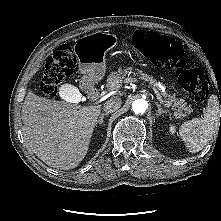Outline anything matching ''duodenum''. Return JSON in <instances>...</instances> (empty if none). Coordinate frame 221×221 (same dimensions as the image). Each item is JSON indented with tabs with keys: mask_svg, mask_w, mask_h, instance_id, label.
Wrapping results in <instances>:
<instances>
[{
	"mask_svg": "<svg viewBox=\"0 0 221 221\" xmlns=\"http://www.w3.org/2000/svg\"><path fill=\"white\" fill-rule=\"evenodd\" d=\"M85 92L93 100L98 99L100 97V95H101L100 90L98 88H96V87L85 88Z\"/></svg>",
	"mask_w": 221,
	"mask_h": 221,
	"instance_id": "obj_1",
	"label": "duodenum"
}]
</instances>
